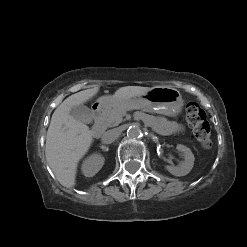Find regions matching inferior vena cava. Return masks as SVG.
Here are the masks:
<instances>
[{
    "label": "inferior vena cava",
    "mask_w": 247,
    "mask_h": 247,
    "mask_svg": "<svg viewBox=\"0 0 247 247\" xmlns=\"http://www.w3.org/2000/svg\"><path fill=\"white\" fill-rule=\"evenodd\" d=\"M120 134L121 130L119 128L108 130L103 134L101 138L102 143L111 144L119 137Z\"/></svg>",
    "instance_id": "obj_1"
}]
</instances>
